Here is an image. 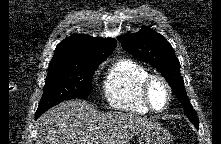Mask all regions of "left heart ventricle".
<instances>
[{"mask_svg":"<svg viewBox=\"0 0 221 144\" xmlns=\"http://www.w3.org/2000/svg\"><path fill=\"white\" fill-rule=\"evenodd\" d=\"M150 100L156 109H161L167 102V91L159 81H154L150 87Z\"/></svg>","mask_w":221,"mask_h":144,"instance_id":"b2bd125f","label":"left heart ventricle"}]
</instances>
